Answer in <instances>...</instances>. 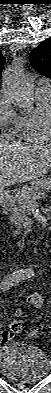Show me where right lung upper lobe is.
Wrapping results in <instances>:
<instances>
[{
	"mask_svg": "<svg viewBox=\"0 0 51 393\" xmlns=\"http://www.w3.org/2000/svg\"><path fill=\"white\" fill-rule=\"evenodd\" d=\"M4 62H5V57L1 54V51H0V75H1V72L4 67Z\"/></svg>",
	"mask_w": 51,
	"mask_h": 393,
	"instance_id": "obj_1",
	"label": "right lung upper lobe"
}]
</instances>
